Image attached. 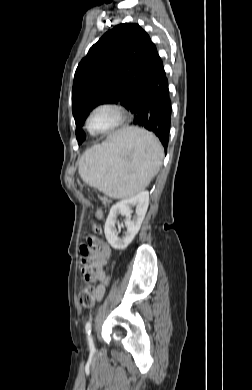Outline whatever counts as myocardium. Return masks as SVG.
<instances>
[{"instance_id": "f54148a6", "label": "myocardium", "mask_w": 252, "mask_h": 390, "mask_svg": "<svg viewBox=\"0 0 252 390\" xmlns=\"http://www.w3.org/2000/svg\"><path fill=\"white\" fill-rule=\"evenodd\" d=\"M101 110H108V111L112 112L115 116V119H114V122L108 128L103 129V130H97V129L92 127L91 121H92L94 114L98 111H101ZM127 115H128V113H127V110L125 109V107H123L119 104H116V103L99 104V105L95 106L91 110V112L89 113L88 118H87V127L90 130V132L93 134H108V133H111V132L117 130L121 126H123V124L125 123V121L127 119Z\"/></svg>"}]
</instances>
